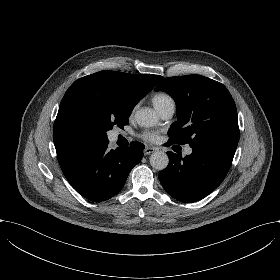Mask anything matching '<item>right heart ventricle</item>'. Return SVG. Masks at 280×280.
<instances>
[{"label": "right heart ventricle", "instance_id": "1", "mask_svg": "<svg viewBox=\"0 0 280 280\" xmlns=\"http://www.w3.org/2000/svg\"><path fill=\"white\" fill-rule=\"evenodd\" d=\"M152 102L159 112L163 106L172 102L174 103L173 99L168 94L165 93L155 94L152 98Z\"/></svg>", "mask_w": 280, "mask_h": 280}]
</instances>
